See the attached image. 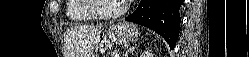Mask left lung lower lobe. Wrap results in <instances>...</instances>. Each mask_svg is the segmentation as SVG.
Wrapping results in <instances>:
<instances>
[{"label": "left lung lower lobe", "instance_id": "0a47b994", "mask_svg": "<svg viewBox=\"0 0 249 57\" xmlns=\"http://www.w3.org/2000/svg\"><path fill=\"white\" fill-rule=\"evenodd\" d=\"M184 0H141L138 8L128 17L160 34L173 49L179 35V9Z\"/></svg>", "mask_w": 249, "mask_h": 57}]
</instances>
